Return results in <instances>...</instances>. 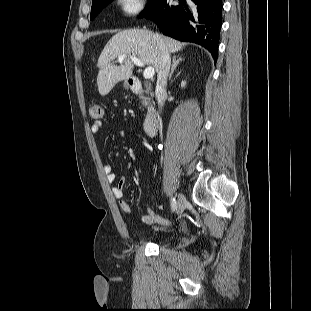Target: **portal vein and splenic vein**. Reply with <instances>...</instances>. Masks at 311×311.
<instances>
[{"label":"portal vein and splenic vein","instance_id":"1","mask_svg":"<svg viewBox=\"0 0 311 311\" xmlns=\"http://www.w3.org/2000/svg\"><path fill=\"white\" fill-rule=\"evenodd\" d=\"M126 57H127L126 54L119 55V56H118V60H119L120 62H122ZM130 58H131V61H132L134 64H136L137 66H140V67H143V66H144V63H143L140 59H138L137 57L130 56ZM154 73H155V71H154V68H153V67H151V66L146 67V69L144 70V73H143V77H144L145 79H151V78H153Z\"/></svg>","mask_w":311,"mask_h":311}]
</instances>
